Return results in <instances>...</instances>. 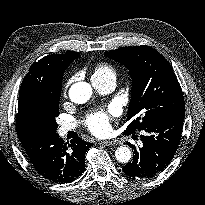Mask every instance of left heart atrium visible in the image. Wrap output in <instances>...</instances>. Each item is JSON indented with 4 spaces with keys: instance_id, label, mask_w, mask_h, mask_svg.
<instances>
[{
    "instance_id": "39dd6f15",
    "label": "left heart atrium",
    "mask_w": 205,
    "mask_h": 205,
    "mask_svg": "<svg viewBox=\"0 0 205 205\" xmlns=\"http://www.w3.org/2000/svg\"><path fill=\"white\" fill-rule=\"evenodd\" d=\"M118 110L110 108L107 111H98L90 115L87 119V126L89 130L96 134L102 135L109 131V121L111 115H116Z\"/></svg>"
}]
</instances>
